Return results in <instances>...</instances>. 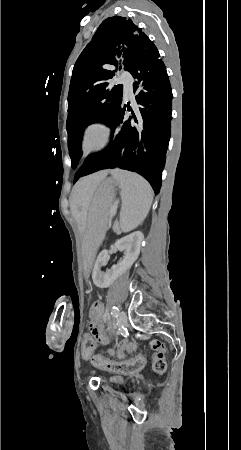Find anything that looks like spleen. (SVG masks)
<instances>
[{
  "instance_id": "spleen-1",
  "label": "spleen",
  "mask_w": 241,
  "mask_h": 450,
  "mask_svg": "<svg viewBox=\"0 0 241 450\" xmlns=\"http://www.w3.org/2000/svg\"><path fill=\"white\" fill-rule=\"evenodd\" d=\"M111 176L121 188L120 228L122 232H130L142 224L149 214L154 192L150 184L134 172L111 170Z\"/></svg>"
}]
</instances>
